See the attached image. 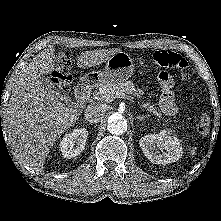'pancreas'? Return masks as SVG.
I'll return each mask as SVG.
<instances>
[{"label": "pancreas", "instance_id": "cf45deb5", "mask_svg": "<svg viewBox=\"0 0 221 221\" xmlns=\"http://www.w3.org/2000/svg\"><path fill=\"white\" fill-rule=\"evenodd\" d=\"M100 91H95L94 96L101 101H110L116 98L117 92H125L126 94H132L135 91V86L131 81H125L120 83L108 82L100 87ZM141 108L147 109L150 112H153L154 115L161 117V114L149 105V103H143Z\"/></svg>", "mask_w": 221, "mask_h": 221}]
</instances>
